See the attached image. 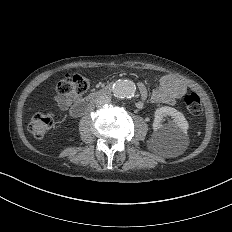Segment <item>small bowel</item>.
Segmentation results:
<instances>
[{
  "instance_id": "obj_1",
  "label": "small bowel",
  "mask_w": 232,
  "mask_h": 232,
  "mask_svg": "<svg viewBox=\"0 0 232 232\" xmlns=\"http://www.w3.org/2000/svg\"><path fill=\"white\" fill-rule=\"evenodd\" d=\"M186 89V83L181 79L171 75L163 76L159 80L158 89L151 94L150 102L154 104L160 102L175 103L186 92ZM138 93L140 98L145 99L148 97L149 91L145 85L141 84Z\"/></svg>"
}]
</instances>
